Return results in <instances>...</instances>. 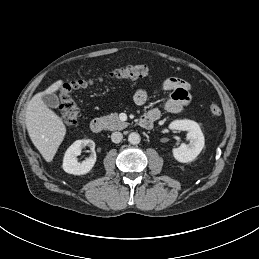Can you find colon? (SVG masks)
<instances>
[{
    "mask_svg": "<svg viewBox=\"0 0 259 259\" xmlns=\"http://www.w3.org/2000/svg\"><path fill=\"white\" fill-rule=\"evenodd\" d=\"M150 73V69L146 65H128L115 69L108 74V78L112 80H129L144 77ZM102 80V77L99 78ZM93 83L91 79H75L65 83L59 92V108L61 110L62 121L67 127H74L78 123L80 109L76 101L72 98V92L78 89L86 88ZM211 115L217 117L221 114L218 105L212 104L209 107Z\"/></svg>",
    "mask_w": 259,
    "mask_h": 259,
    "instance_id": "1",
    "label": "colon"
}]
</instances>
